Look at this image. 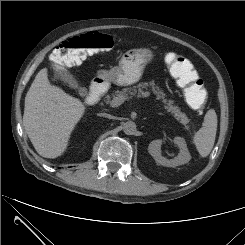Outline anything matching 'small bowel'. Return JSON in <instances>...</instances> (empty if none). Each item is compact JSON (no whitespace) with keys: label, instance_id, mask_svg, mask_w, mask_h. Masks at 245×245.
I'll use <instances>...</instances> for the list:
<instances>
[{"label":"small bowel","instance_id":"c3829d8e","mask_svg":"<svg viewBox=\"0 0 245 245\" xmlns=\"http://www.w3.org/2000/svg\"><path fill=\"white\" fill-rule=\"evenodd\" d=\"M170 55H172V53L167 55V62H168V57ZM185 62L186 63H185V67H184V73L186 75H191L194 78H198L197 72L195 71V69H194L193 65L190 63V61L185 58Z\"/></svg>","mask_w":245,"mask_h":245}]
</instances>
